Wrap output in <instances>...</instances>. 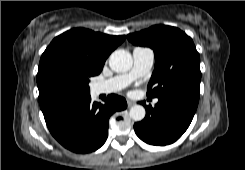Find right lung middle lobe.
Returning a JSON list of instances; mask_svg holds the SVG:
<instances>
[{"label": "right lung middle lobe", "instance_id": "dd1d6c3e", "mask_svg": "<svg viewBox=\"0 0 245 170\" xmlns=\"http://www.w3.org/2000/svg\"><path fill=\"white\" fill-rule=\"evenodd\" d=\"M90 75L55 67L49 69L41 81V91L48 106L57 107L90 94Z\"/></svg>", "mask_w": 245, "mask_h": 170}]
</instances>
